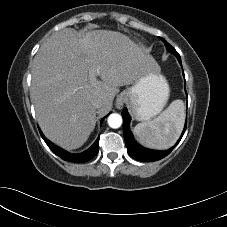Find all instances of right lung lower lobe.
<instances>
[{
	"instance_id": "1",
	"label": "right lung lower lobe",
	"mask_w": 227,
	"mask_h": 227,
	"mask_svg": "<svg viewBox=\"0 0 227 227\" xmlns=\"http://www.w3.org/2000/svg\"><path fill=\"white\" fill-rule=\"evenodd\" d=\"M104 118L101 120V122L104 120ZM40 134H41L42 138L44 139V141L46 142V144L48 145V147L56 155H58L60 158H62L63 160H66V161L77 162V163L86 162V161L92 159L98 153L99 137L88 150H86V151H84V152H82L80 154H72V153L66 152L63 149H61V148L55 146L54 144H52L49 140H47L45 138V136L42 134L41 131H40Z\"/></svg>"
}]
</instances>
